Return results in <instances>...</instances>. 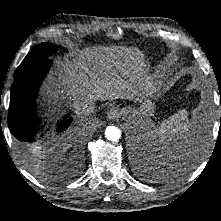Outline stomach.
Returning a JSON list of instances; mask_svg holds the SVG:
<instances>
[{"instance_id":"stomach-1","label":"stomach","mask_w":221,"mask_h":221,"mask_svg":"<svg viewBox=\"0 0 221 221\" xmlns=\"http://www.w3.org/2000/svg\"><path fill=\"white\" fill-rule=\"evenodd\" d=\"M137 101L139 107L137 112L143 117H150L154 113V103L151 98L154 94L155 87L152 81V77L147 74L146 65H144L142 76L138 83Z\"/></svg>"}]
</instances>
